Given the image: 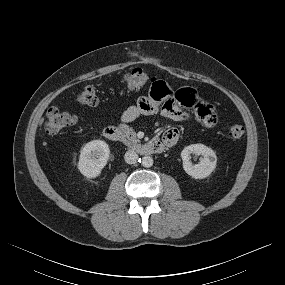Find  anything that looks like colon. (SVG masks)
Segmentation results:
<instances>
[{
	"instance_id": "5ec220e1",
	"label": "colon",
	"mask_w": 285,
	"mask_h": 285,
	"mask_svg": "<svg viewBox=\"0 0 285 285\" xmlns=\"http://www.w3.org/2000/svg\"><path fill=\"white\" fill-rule=\"evenodd\" d=\"M153 81H160L151 77L142 69H134L124 76V83L128 90L135 91L144 86L150 85ZM163 82V81H162ZM77 102L81 105L95 107L99 103L97 92L93 86H85L77 95ZM171 110V109H169ZM76 118L66 110L51 107L45 116L44 130L47 134L56 135L63 133L75 124ZM244 135V128L241 124L230 123L227 125V136L233 140H239Z\"/></svg>"
}]
</instances>
